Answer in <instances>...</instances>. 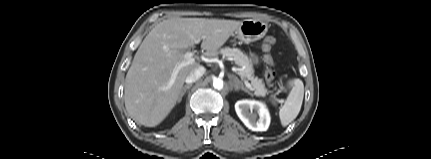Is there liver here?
<instances>
[{
    "label": "liver",
    "instance_id": "6515ba94",
    "mask_svg": "<svg viewBox=\"0 0 431 159\" xmlns=\"http://www.w3.org/2000/svg\"><path fill=\"white\" fill-rule=\"evenodd\" d=\"M240 24L205 18H170L157 24L139 46L126 75L124 101L129 116L147 127L160 124L176 105L186 77L200 67L195 62L181 67L172 87L166 89L175 69L185 61L184 51L204 37V55L216 58Z\"/></svg>",
    "mask_w": 431,
    "mask_h": 159
}]
</instances>
